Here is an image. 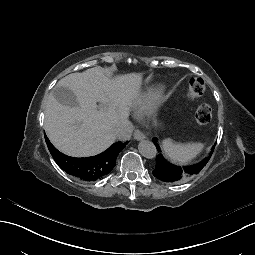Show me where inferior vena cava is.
Segmentation results:
<instances>
[{
    "label": "inferior vena cava",
    "mask_w": 255,
    "mask_h": 255,
    "mask_svg": "<svg viewBox=\"0 0 255 255\" xmlns=\"http://www.w3.org/2000/svg\"><path fill=\"white\" fill-rule=\"evenodd\" d=\"M134 127L131 123H124L122 124L116 134V138L121 142L129 141L131 138V135L133 133Z\"/></svg>",
    "instance_id": "602c4592"
}]
</instances>
